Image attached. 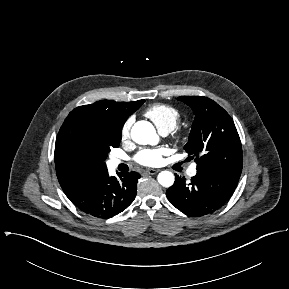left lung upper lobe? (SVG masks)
Masks as SVG:
<instances>
[{
  "mask_svg": "<svg viewBox=\"0 0 289 289\" xmlns=\"http://www.w3.org/2000/svg\"><path fill=\"white\" fill-rule=\"evenodd\" d=\"M192 108L195 118L184 146L196 157L198 170H213L240 178L242 171L241 141L229 114L215 101L202 96L177 98Z\"/></svg>",
  "mask_w": 289,
  "mask_h": 289,
  "instance_id": "1",
  "label": "left lung upper lobe"
}]
</instances>
